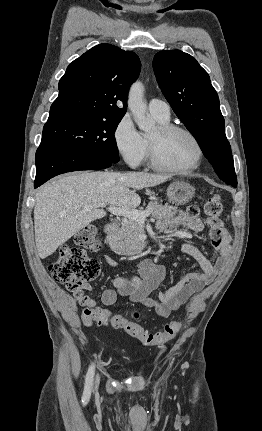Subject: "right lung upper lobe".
I'll use <instances>...</instances> for the list:
<instances>
[{"instance_id": "obj_1", "label": "right lung upper lobe", "mask_w": 262, "mask_h": 431, "mask_svg": "<svg viewBox=\"0 0 262 431\" xmlns=\"http://www.w3.org/2000/svg\"><path fill=\"white\" fill-rule=\"evenodd\" d=\"M134 52L100 44L74 60L59 81V95L45 125L86 118H119L128 89L140 73Z\"/></svg>"}]
</instances>
